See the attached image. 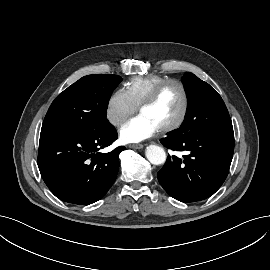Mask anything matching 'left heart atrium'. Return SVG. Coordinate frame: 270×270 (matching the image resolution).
I'll return each mask as SVG.
<instances>
[{"label": "left heart atrium", "mask_w": 270, "mask_h": 270, "mask_svg": "<svg viewBox=\"0 0 270 270\" xmlns=\"http://www.w3.org/2000/svg\"><path fill=\"white\" fill-rule=\"evenodd\" d=\"M159 129L145 115H138L127 121L120 129L123 143H139L152 137Z\"/></svg>", "instance_id": "1"}]
</instances>
